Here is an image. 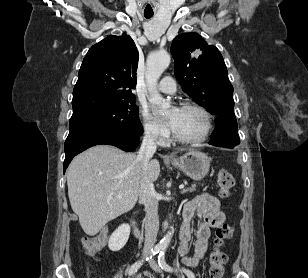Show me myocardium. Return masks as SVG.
Listing matches in <instances>:
<instances>
[{
  "instance_id": "myocardium-1",
  "label": "myocardium",
  "mask_w": 308,
  "mask_h": 278,
  "mask_svg": "<svg viewBox=\"0 0 308 278\" xmlns=\"http://www.w3.org/2000/svg\"><path fill=\"white\" fill-rule=\"evenodd\" d=\"M181 109H193V110L198 111L205 120V128L201 135L197 137H192V138L180 136L173 130V138L176 141L183 143V144H195V143H200L206 140L208 136L210 135L212 131V127H213L212 116L209 113V111L203 106L197 103H192V102L184 103L181 106Z\"/></svg>"
}]
</instances>
